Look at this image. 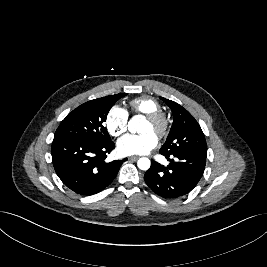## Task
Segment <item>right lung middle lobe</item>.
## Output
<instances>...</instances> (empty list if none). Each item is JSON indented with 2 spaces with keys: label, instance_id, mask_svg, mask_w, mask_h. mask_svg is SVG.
<instances>
[{
  "label": "right lung middle lobe",
  "instance_id": "obj_1",
  "mask_svg": "<svg viewBox=\"0 0 267 267\" xmlns=\"http://www.w3.org/2000/svg\"><path fill=\"white\" fill-rule=\"evenodd\" d=\"M125 95L119 93L80 105L61 122L54 139H73L86 142L110 141V135L104 127V122L111 107Z\"/></svg>",
  "mask_w": 267,
  "mask_h": 267
}]
</instances>
